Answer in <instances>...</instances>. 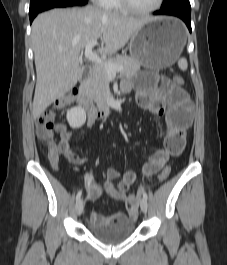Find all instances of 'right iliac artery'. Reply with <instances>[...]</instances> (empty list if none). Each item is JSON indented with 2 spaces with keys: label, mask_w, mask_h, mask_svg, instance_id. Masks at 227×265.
Instances as JSON below:
<instances>
[{
  "label": "right iliac artery",
  "mask_w": 227,
  "mask_h": 265,
  "mask_svg": "<svg viewBox=\"0 0 227 265\" xmlns=\"http://www.w3.org/2000/svg\"><path fill=\"white\" fill-rule=\"evenodd\" d=\"M82 195V191L80 190L76 195V200L78 201Z\"/></svg>",
  "instance_id": "obj_1"
}]
</instances>
